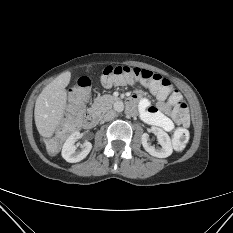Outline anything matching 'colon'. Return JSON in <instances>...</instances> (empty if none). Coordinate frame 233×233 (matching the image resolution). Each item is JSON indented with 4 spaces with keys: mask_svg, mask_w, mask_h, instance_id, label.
Wrapping results in <instances>:
<instances>
[{
    "mask_svg": "<svg viewBox=\"0 0 233 233\" xmlns=\"http://www.w3.org/2000/svg\"><path fill=\"white\" fill-rule=\"evenodd\" d=\"M101 81L107 87L141 84L159 99L171 105L173 108L172 115L177 123L183 125H188L189 123L188 104L181 99L180 94L167 79L152 71L129 66L109 65L103 69ZM90 87V79L81 77L70 90V102L65 121L55 135L46 141V146L49 151L55 152L58 150L61 143L79 129L85 114V105L90 94ZM188 141V130L180 128L173 135V148L181 151L186 147Z\"/></svg>",
    "mask_w": 233,
    "mask_h": 233,
    "instance_id": "1",
    "label": "colon"
}]
</instances>
